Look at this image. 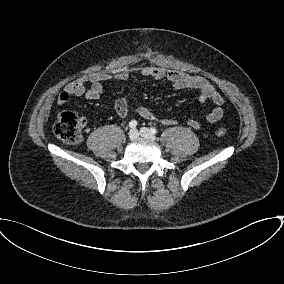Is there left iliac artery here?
Instances as JSON below:
<instances>
[{
	"label": "left iliac artery",
	"instance_id": "obj_1",
	"mask_svg": "<svg viewBox=\"0 0 284 284\" xmlns=\"http://www.w3.org/2000/svg\"><path fill=\"white\" fill-rule=\"evenodd\" d=\"M150 131H151L152 134H157V132H158L155 127H151Z\"/></svg>",
	"mask_w": 284,
	"mask_h": 284
}]
</instances>
